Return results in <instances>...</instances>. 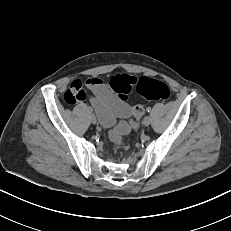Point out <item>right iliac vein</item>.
<instances>
[{"label": "right iliac vein", "mask_w": 231, "mask_h": 231, "mask_svg": "<svg viewBox=\"0 0 231 231\" xmlns=\"http://www.w3.org/2000/svg\"><path fill=\"white\" fill-rule=\"evenodd\" d=\"M90 120H91V123H92V124H96V123H97V119H96V117H95L94 114H91Z\"/></svg>", "instance_id": "right-iliac-vein-1"}]
</instances>
